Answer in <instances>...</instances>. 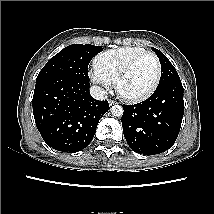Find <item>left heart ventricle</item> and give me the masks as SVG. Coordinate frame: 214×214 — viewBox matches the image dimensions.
<instances>
[{
    "mask_svg": "<svg viewBox=\"0 0 214 214\" xmlns=\"http://www.w3.org/2000/svg\"><path fill=\"white\" fill-rule=\"evenodd\" d=\"M156 65L150 56L139 60L121 84V91L128 96L147 92L154 83Z\"/></svg>",
    "mask_w": 214,
    "mask_h": 214,
    "instance_id": "b2bd125f",
    "label": "left heart ventricle"
}]
</instances>
